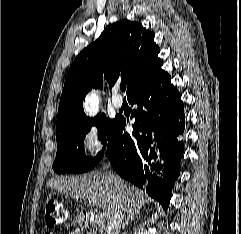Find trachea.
<instances>
[{"label": "trachea", "instance_id": "trachea-1", "mask_svg": "<svg viewBox=\"0 0 241 234\" xmlns=\"http://www.w3.org/2000/svg\"><path fill=\"white\" fill-rule=\"evenodd\" d=\"M120 89H121L122 91H125V90H126V84H121V85H120Z\"/></svg>", "mask_w": 241, "mask_h": 234}]
</instances>
